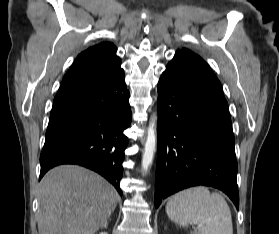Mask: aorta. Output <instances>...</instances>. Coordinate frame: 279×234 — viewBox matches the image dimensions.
I'll return each mask as SVG.
<instances>
[{
    "label": "aorta",
    "mask_w": 279,
    "mask_h": 234,
    "mask_svg": "<svg viewBox=\"0 0 279 234\" xmlns=\"http://www.w3.org/2000/svg\"><path fill=\"white\" fill-rule=\"evenodd\" d=\"M156 118L152 117V120L149 123V127L147 130L146 142L144 145V151L142 155V168L144 171H147L151 166L154 154L156 150Z\"/></svg>",
    "instance_id": "1"
}]
</instances>
